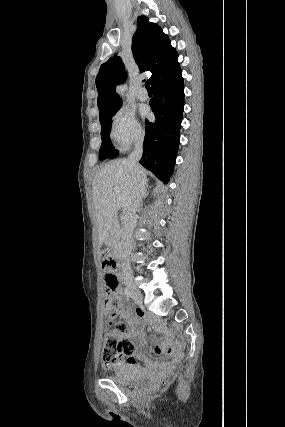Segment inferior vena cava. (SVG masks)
<instances>
[{
  "mask_svg": "<svg viewBox=\"0 0 285 427\" xmlns=\"http://www.w3.org/2000/svg\"><path fill=\"white\" fill-rule=\"evenodd\" d=\"M142 145L143 138H139L136 141L134 151L127 159L132 170L134 187L130 199L124 206L123 210L122 245L125 252V263L123 269L126 273L131 272L127 257L132 249V235L137 221L136 211L140 205V202L142 201V198L144 197L146 187V175L139 165V160L141 159L143 153Z\"/></svg>",
  "mask_w": 285,
  "mask_h": 427,
  "instance_id": "obj_1",
  "label": "inferior vena cava"
}]
</instances>
